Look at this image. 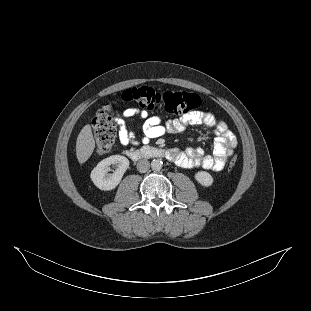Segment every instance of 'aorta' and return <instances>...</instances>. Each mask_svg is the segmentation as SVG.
<instances>
[{
  "label": "aorta",
  "instance_id": "762f6f07",
  "mask_svg": "<svg viewBox=\"0 0 311 311\" xmlns=\"http://www.w3.org/2000/svg\"><path fill=\"white\" fill-rule=\"evenodd\" d=\"M162 166H163V162L160 159H153L151 161L152 170L159 171L161 170Z\"/></svg>",
  "mask_w": 311,
  "mask_h": 311
}]
</instances>
